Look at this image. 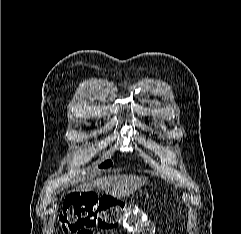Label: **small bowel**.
Masks as SVG:
<instances>
[{"instance_id":"small-bowel-1","label":"small bowel","mask_w":241,"mask_h":234,"mask_svg":"<svg viewBox=\"0 0 241 234\" xmlns=\"http://www.w3.org/2000/svg\"><path fill=\"white\" fill-rule=\"evenodd\" d=\"M77 234H92V232H90L88 230H81Z\"/></svg>"}]
</instances>
